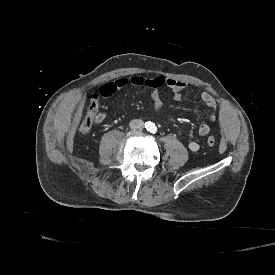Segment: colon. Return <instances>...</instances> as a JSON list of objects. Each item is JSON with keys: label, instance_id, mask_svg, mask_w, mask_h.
Segmentation results:
<instances>
[{"label": "colon", "instance_id": "5ec220e1", "mask_svg": "<svg viewBox=\"0 0 275 275\" xmlns=\"http://www.w3.org/2000/svg\"><path fill=\"white\" fill-rule=\"evenodd\" d=\"M100 117L101 112L98 101L95 98H91L88 106V111L80 125V130L82 132H89L93 127L94 121ZM207 143L209 146H213L215 144V138L213 136L208 137Z\"/></svg>", "mask_w": 275, "mask_h": 275}]
</instances>
